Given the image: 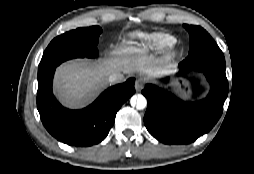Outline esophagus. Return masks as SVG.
<instances>
[{
  "mask_svg": "<svg viewBox=\"0 0 254 174\" xmlns=\"http://www.w3.org/2000/svg\"><path fill=\"white\" fill-rule=\"evenodd\" d=\"M144 83H145L144 79L138 78L135 82L136 91H138V92L141 91L144 87Z\"/></svg>",
  "mask_w": 254,
  "mask_h": 174,
  "instance_id": "1",
  "label": "esophagus"
}]
</instances>
